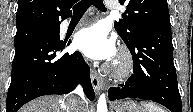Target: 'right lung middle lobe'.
Returning a JSON list of instances; mask_svg holds the SVG:
<instances>
[{
    "label": "right lung middle lobe",
    "mask_w": 193,
    "mask_h": 112,
    "mask_svg": "<svg viewBox=\"0 0 193 112\" xmlns=\"http://www.w3.org/2000/svg\"><path fill=\"white\" fill-rule=\"evenodd\" d=\"M58 28L59 26H44V27H35V28H29V29L17 31L14 39V45L16 47L22 43H25L34 38H37L43 34H46L53 30H58Z\"/></svg>",
    "instance_id": "obj_1"
}]
</instances>
